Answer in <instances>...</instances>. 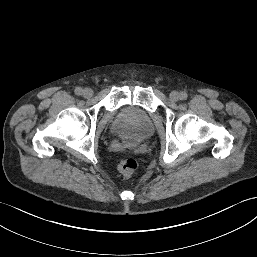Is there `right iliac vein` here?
<instances>
[{
    "label": "right iliac vein",
    "instance_id": "right-iliac-vein-1",
    "mask_svg": "<svg viewBox=\"0 0 257 257\" xmlns=\"http://www.w3.org/2000/svg\"><path fill=\"white\" fill-rule=\"evenodd\" d=\"M93 95V90L91 88H85L83 90V96L85 98H90Z\"/></svg>",
    "mask_w": 257,
    "mask_h": 257
}]
</instances>
